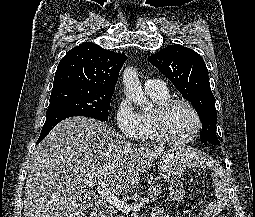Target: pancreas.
Here are the masks:
<instances>
[{"label":"pancreas","mask_w":255,"mask_h":217,"mask_svg":"<svg viewBox=\"0 0 255 217\" xmlns=\"http://www.w3.org/2000/svg\"><path fill=\"white\" fill-rule=\"evenodd\" d=\"M162 193V186L156 184L155 186L150 187L148 198L150 202L157 200L158 196ZM107 217H125L122 214H119L118 210L114 207H108L106 210Z\"/></svg>","instance_id":"1"}]
</instances>
